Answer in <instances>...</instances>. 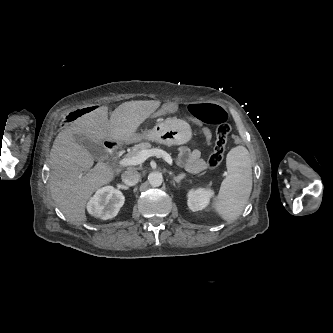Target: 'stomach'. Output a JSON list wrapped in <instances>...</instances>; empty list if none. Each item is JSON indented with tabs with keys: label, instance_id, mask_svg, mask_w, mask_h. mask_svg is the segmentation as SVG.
<instances>
[{
	"label": "stomach",
	"instance_id": "obj_1",
	"mask_svg": "<svg viewBox=\"0 0 333 333\" xmlns=\"http://www.w3.org/2000/svg\"><path fill=\"white\" fill-rule=\"evenodd\" d=\"M192 138V130L188 123L182 120L168 118L153 129L146 130L142 134H135L132 142L147 139L168 146L181 145L189 142Z\"/></svg>",
	"mask_w": 333,
	"mask_h": 333
}]
</instances>
